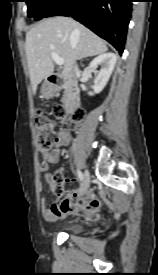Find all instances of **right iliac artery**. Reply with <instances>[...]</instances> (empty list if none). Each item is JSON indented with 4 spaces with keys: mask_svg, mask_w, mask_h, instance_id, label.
<instances>
[{
    "mask_svg": "<svg viewBox=\"0 0 158 275\" xmlns=\"http://www.w3.org/2000/svg\"><path fill=\"white\" fill-rule=\"evenodd\" d=\"M77 175H78V178L80 179V181H82L83 180V174H82V172L81 171H77Z\"/></svg>",
    "mask_w": 158,
    "mask_h": 275,
    "instance_id": "1",
    "label": "right iliac artery"
}]
</instances>
